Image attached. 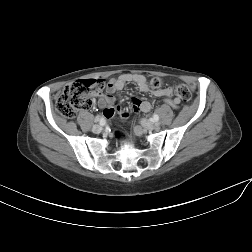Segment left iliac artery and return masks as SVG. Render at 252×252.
<instances>
[{
	"instance_id": "44dca946",
	"label": "left iliac artery",
	"mask_w": 252,
	"mask_h": 252,
	"mask_svg": "<svg viewBox=\"0 0 252 252\" xmlns=\"http://www.w3.org/2000/svg\"><path fill=\"white\" fill-rule=\"evenodd\" d=\"M159 120V116L157 114L153 115V121L157 122Z\"/></svg>"
}]
</instances>
